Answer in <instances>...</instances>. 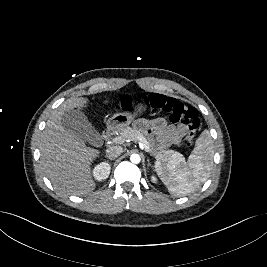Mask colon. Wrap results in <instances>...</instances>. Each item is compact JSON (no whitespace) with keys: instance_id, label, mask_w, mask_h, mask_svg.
Listing matches in <instances>:
<instances>
[{"instance_id":"colon-1","label":"colon","mask_w":267,"mask_h":267,"mask_svg":"<svg viewBox=\"0 0 267 267\" xmlns=\"http://www.w3.org/2000/svg\"><path fill=\"white\" fill-rule=\"evenodd\" d=\"M135 103L145 104L156 113H165L175 123H182L186 126L185 141L191 146L194 142L196 132L200 126L198 111L185 103L162 94L152 93L142 99L134 100L131 96H123L117 104L119 109L128 111Z\"/></svg>"}]
</instances>
